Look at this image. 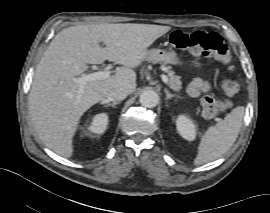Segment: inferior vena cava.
Returning a JSON list of instances; mask_svg holds the SVG:
<instances>
[{
    "mask_svg": "<svg viewBox=\"0 0 270 213\" xmlns=\"http://www.w3.org/2000/svg\"><path fill=\"white\" fill-rule=\"evenodd\" d=\"M128 95V92L124 89H114L107 95V101H122Z\"/></svg>",
    "mask_w": 270,
    "mask_h": 213,
    "instance_id": "obj_1",
    "label": "inferior vena cava"
}]
</instances>
